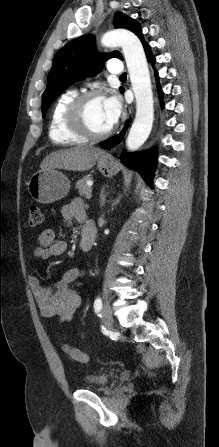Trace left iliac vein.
I'll list each match as a JSON object with an SVG mask.
<instances>
[{
  "instance_id": "obj_1",
  "label": "left iliac vein",
  "mask_w": 219,
  "mask_h": 447,
  "mask_svg": "<svg viewBox=\"0 0 219 447\" xmlns=\"http://www.w3.org/2000/svg\"><path fill=\"white\" fill-rule=\"evenodd\" d=\"M102 322L106 326L107 329L112 330L114 319L112 316V310L109 305L105 304L101 310Z\"/></svg>"
}]
</instances>
